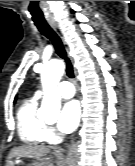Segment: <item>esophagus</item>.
<instances>
[{"instance_id": "esophagus-1", "label": "esophagus", "mask_w": 135, "mask_h": 166, "mask_svg": "<svg viewBox=\"0 0 135 166\" xmlns=\"http://www.w3.org/2000/svg\"><path fill=\"white\" fill-rule=\"evenodd\" d=\"M49 24L53 28V30L58 34V36L62 39L63 43L65 44L64 37L59 25L54 21H51Z\"/></svg>"}]
</instances>
